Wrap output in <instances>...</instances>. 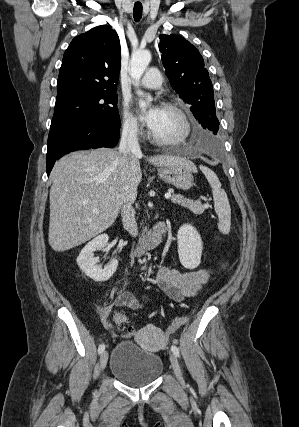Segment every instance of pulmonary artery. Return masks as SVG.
I'll return each instance as SVG.
<instances>
[{
	"mask_svg": "<svg viewBox=\"0 0 299 427\" xmlns=\"http://www.w3.org/2000/svg\"><path fill=\"white\" fill-rule=\"evenodd\" d=\"M143 87L147 89H157L162 85L161 74L156 68H149L141 80Z\"/></svg>",
	"mask_w": 299,
	"mask_h": 427,
	"instance_id": "obj_1",
	"label": "pulmonary artery"
}]
</instances>
